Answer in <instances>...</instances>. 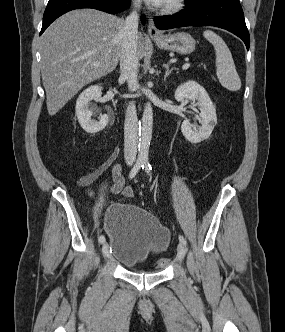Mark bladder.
<instances>
[{"instance_id":"bladder-1","label":"bladder","mask_w":285,"mask_h":332,"mask_svg":"<svg viewBox=\"0 0 285 332\" xmlns=\"http://www.w3.org/2000/svg\"><path fill=\"white\" fill-rule=\"evenodd\" d=\"M105 230L111 256L129 268L164 248L169 241L168 231L155 216L131 204L113 205L106 214Z\"/></svg>"}]
</instances>
